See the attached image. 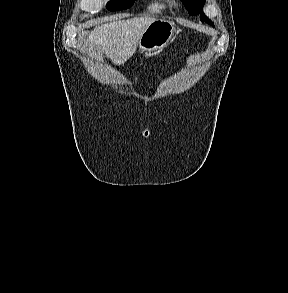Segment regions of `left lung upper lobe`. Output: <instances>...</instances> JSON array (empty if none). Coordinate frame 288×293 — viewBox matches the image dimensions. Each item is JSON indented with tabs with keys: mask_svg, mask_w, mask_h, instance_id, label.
<instances>
[{
	"mask_svg": "<svg viewBox=\"0 0 288 293\" xmlns=\"http://www.w3.org/2000/svg\"><path fill=\"white\" fill-rule=\"evenodd\" d=\"M183 4L187 8L190 15H195L201 13V21L206 22L214 27V24L205 18V15L202 11V7L205 3V0H182Z\"/></svg>",
	"mask_w": 288,
	"mask_h": 293,
	"instance_id": "obj_1",
	"label": "left lung upper lobe"
}]
</instances>
